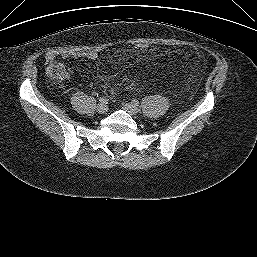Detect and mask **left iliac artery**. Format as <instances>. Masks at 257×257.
<instances>
[{"label":"left iliac artery","mask_w":257,"mask_h":257,"mask_svg":"<svg viewBox=\"0 0 257 257\" xmlns=\"http://www.w3.org/2000/svg\"><path fill=\"white\" fill-rule=\"evenodd\" d=\"M132 103L135 105V106H138L139 105V101L137 99H133L132 100Z\"/></svg>","instance_id":"left-iliac-artery-1"}]
</instances>
